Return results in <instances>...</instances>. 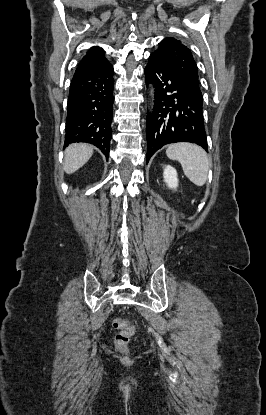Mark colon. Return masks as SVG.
<instances>
[{
	"label": "colon",
	"mask_w": 266,
	"mask_h": 415,
	"mask_svg": "<svg viewBox=\"0 0 266 415\" xmlns=\"http://www.w3.org/2000/svg\"><path fill=\"white\" fill-rule=\"evenodd\" d=\"M113 327L118 331L114 338L116 348L120 351H126L134 334V326L127 320L117 318L113 321Z\"/></svg>",
	"instance_id": "obj_1"
}]
</instances>
